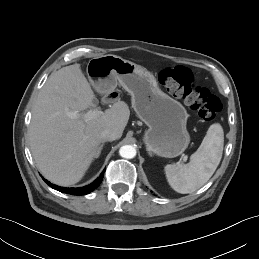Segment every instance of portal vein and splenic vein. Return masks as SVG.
Masks as SVG:
<instances>
[{"instance_id":"portal-vein-and-splenic-vein-1","label":"portal vein and splenic vein","mask_w":259,"mask_h":259,"mask_svg":"<svg viewBox=\"0 0 259 259\" xmlns=\"http://www.w3.org/2000/svg\"><path fill=\"white\" fill-rule=\"evenodd\" d=\"M100 114H102V112L100 110H97V109L96 110H90L87 113L83 114L82 118L87 121V120H91V119L99 116ZM70 116L71 117H77L78 114L76 112H72V113H70Z\"/></svg>"}]
</instances>
